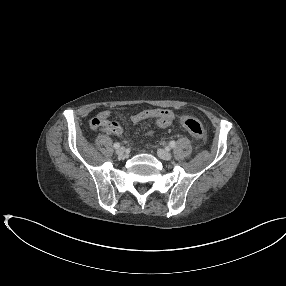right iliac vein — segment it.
Wrapping results in <instances>:
<instances>
[{
  "label": "right iliac vein",
  "mask_w": 286,
  "mask_h": 286,
  "mask_svg": "<svg viewBox=\"0 0 286 286\" xmlns=\"http://www.w3.org/2000/svg\"><path fill=\"white\" fill-rule=\"evenodd\" d=\"M116 154H117L118 156H123V155L125 154V148H124V147H119V148H117Z\"/></svg>",
  "instance_id": "63e3f726"
}]
</instances>
